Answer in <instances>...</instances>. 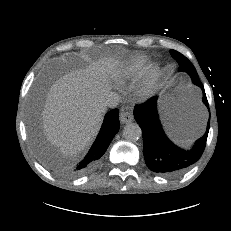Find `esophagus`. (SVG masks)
Masks as SVG:
<instances>
[{
  "mask_svg": "<svg viewBox=\"0 0 231 231\" xmlns=\"http://www.w3.org/2000/svg\"><path fill=\"white\" fill-rule=\"evenodd\" d=\"M134 120V116L132 111L127 109H122V112L120 114V121L122 124H128Z\"/></svg>",
  "mask_w": 231,
  "mask_h": 231,
  "instance_id": "34e87169",
  "label": "esophagus"
}]
</instances>
